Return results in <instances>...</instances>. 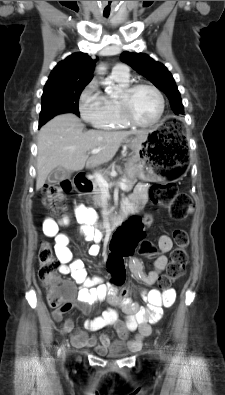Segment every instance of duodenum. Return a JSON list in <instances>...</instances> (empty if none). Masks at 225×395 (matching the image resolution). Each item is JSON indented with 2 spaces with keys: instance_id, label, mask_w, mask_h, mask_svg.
Instances as JSON below:
<instances>
[{
  "instance_id": "duodenum-1",
  "label": "duodenum",
  "mask_w": 225,
  "mask_h": 395,
  "mask_svg": "<svg viewBox=\"0 0 225 395\" xmlns=\"http://www.w3.org/2000/svg\"><path fill=\"white\" fill-rule=\"evenodd\" d=\"M74 185L76 189L81 193L88 192L91 189V181L89 180L88 176L83 172H80L75 176ZM122 221L123 217L121 215H114L109 219L106 228L113 229L115 227H118L122 224Z\"/></svg>"
}]
</instances>
